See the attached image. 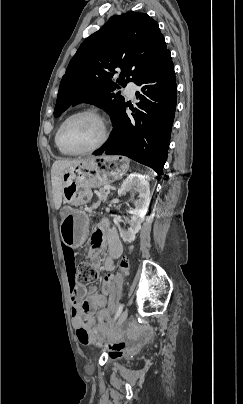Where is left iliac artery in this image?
Wrapping results in <instances>:
<instances>
[{"instance_id": "44dca946", "label": "left iliac artery", "mask_w": 243, "mask_h": 404, "mask_svg": "<svg viewBox=\"0 0 243 404\" xmlns=\"http://www.w3.org/2000/svg\"><path fill=\"white\" fill-rule=\"evenodd\" d=\"M123 307H124L123 304H120V305H119V307H118V309H117V311H116L114 320L119 317V315L121 314V312H122V310H123Z\"/></svg>"}]
</instances>
